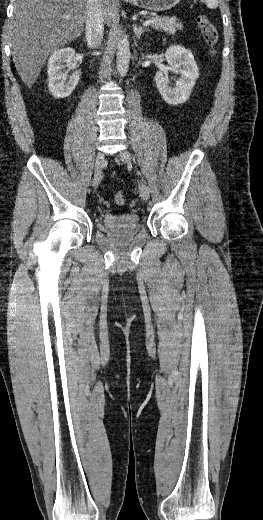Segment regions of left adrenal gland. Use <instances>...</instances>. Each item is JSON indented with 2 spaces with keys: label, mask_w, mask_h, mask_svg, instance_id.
<instances>
[{
  "label": "left adrenal gland",
  "mask_w": 263,
  "mask_h": 520,
  "mask_svg": "<svg viewBox=\"0 0 263 520\" xmlns=\"http://www.w3.org/2000/svg\"><path fill=\"white\" fill-rule=\"evenodd\" d=\"M133 31H134V34L136 36L137 39H140L141 35L144 33V32H150V29L147 28V27H141V26H137L135 23L133 24Z\"/></svg>",
  "instance_id": "obj_1"
}]
</instances>
